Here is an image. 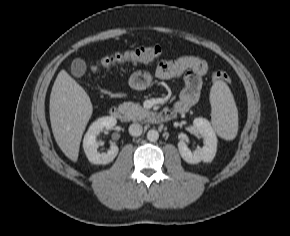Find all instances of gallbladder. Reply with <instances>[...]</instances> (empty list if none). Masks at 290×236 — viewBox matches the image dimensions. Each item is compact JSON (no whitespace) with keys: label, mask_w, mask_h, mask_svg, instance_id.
<instances>
[{"label":"gallbladder","mask_w":290,"mask_h":236,"mask_svg":"<svg viewBox=\"0 0 290 236\" xmlns=\"http://www.w3.org/2000/svg\"><path fill=\"white\" fill-rule=\"evenodd\" d=\"M85 70H86V64L82 59L76 58L72 61V64H71L72 75L76 77H80L85 73Z\"/></svg>","instance_id":"1"}]
</instances>
